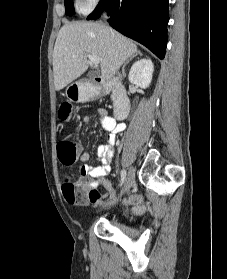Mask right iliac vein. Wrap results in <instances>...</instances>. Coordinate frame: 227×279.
I'll use <instances>...</instances> for the list:
<instances>
[{"label": "right iliac vein", "instance_id": "right-iliac-vein-1", "mask_svg": "<svg viewBox=\"0 0 227 279\" xmlns=\"http://www.w3.org/2000/svg\"><path fill=\"white\" fill-rule=\"evenodd\" d=\"M134 182H135V172H134L133 168H130L129 171H128V175H127L126 181H125L124 189L122 190V192L120 194V197L125 192L130 190V188L134 185ZM120 197L111 200L107 205H105V207L106 206H111V205L117 203L119 201Z\"/></svg>", "mask_w": 227, "mask_h": 279}]
</instances>
